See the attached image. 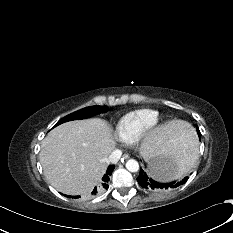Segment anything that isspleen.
I'll return each instance as SVG.
<instances>
[{
	"label": "spleen",
	"instance_id": "3e777b00",
	"mask_svg": "<svg viewBox=\"0 0 233 233\" xmlns=\"http://www.w3.org/2000/svg\"><path fill=\"white\" fill-rule=\"evenodd\" d=\"M197 141L192 127L186 123V129L182 140L175 149L172 159L173 164L178 168L177 177L190 168L196 160Z\"/></svg>",
	"mask_w": 233,
	"mask_h": 233
}]
</instances>
